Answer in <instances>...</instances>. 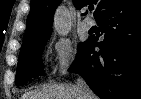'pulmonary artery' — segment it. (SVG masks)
Here are the masks:
<instances>
[{"label":"pulmonary artery","mask_w":141,"mask_h":99,"mask_svg":"<svg viewBox=\"0 0 141 99\" xmlns=\"http://www.w3.org/2000/svg\"><path fill=\"white\" fill-rule=\"evenodd\" d=\"M94 26V21L90 17H86L83 21V29L88 31Z\"/></svg>","instance_id":"obj_1"}]
</instances>
